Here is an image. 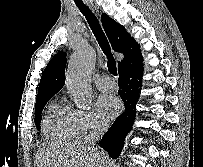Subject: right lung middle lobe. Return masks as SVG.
<instances>
[{"label": "right lung middle lobe", "mask_w": 203, "mask_h": 167, "mask_svg": "<svg viewBox=\"0 0 203 167\" xmlns=\"http://www.w3.org/2000/svg\"><path fill=\"white\" fill-rule=\"evenodd\" d=\"M50 98H47V99H44V100H41L39 102L36 103L35 105V113H36V116H35V124H36V127L38 130H40V122H41V119H42V110L44 109L46 103L48 102Z\"/></svg>", "instance_id": "obj_1"}]
</instances>
